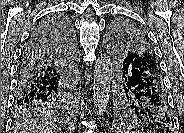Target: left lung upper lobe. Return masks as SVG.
I'll list each match as a JSON object with an SVG mask.
<instances>
[{"instance_id": "obj_1", "label": "left lung upper lobe", "mask_w": 184, "mask_h": 133, "mask_svg": "<svg viewBox=\"0 0 184 133\" xmlns=\"http://www.w3.org/2000/svg\"><path fill=\"white\" fill-rule=\"evenodd\" d=\"M109 44L116 73L114 92L116 113L138 122L147 121L144 102L136 96L134 88L130 85L132 75L136 71L162 81L161 69L147 36L132 22L119 20L110 28ZM165 101L169 111L167 98Z\"/></svg>"}]
</instances>
